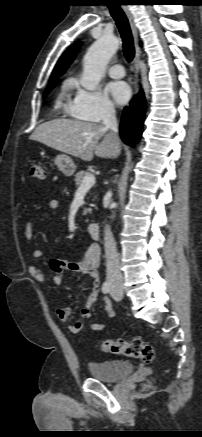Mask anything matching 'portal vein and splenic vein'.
Returning <instances> with one entry per match:
<instances>
[{"label": "portal vein and splenic vein", "instance_id": "obj_1", "mask_svg": "<svg viewBox=\"0 0 202 437\" xmlns=\"http://www.w3.org/2000/svg\"><path fill=\"white\" fill-rule=\"evenodd\" d=\"M95 184V176H86L83 183L79 186L78 190H89Z\"/></svg>", "mask_w": 202, "mask_h": 437}]
</instances>
